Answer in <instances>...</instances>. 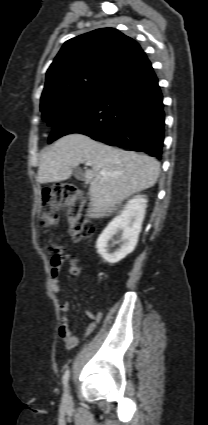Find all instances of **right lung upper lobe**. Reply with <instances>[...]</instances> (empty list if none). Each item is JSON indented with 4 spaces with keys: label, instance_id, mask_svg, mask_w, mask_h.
I'll return each instance as SVG.
<instances>
[{
    "label": "right lung upper lobe",
    "instance_id": "cb5924a9",
    "mask_svg": "<svg viewBox=\"0 0 208 425\" xmlns=\"http://www.w3.org/2000/svg\"><path fill=\"white\" fill-rule=\"evenodd\" d=\"M144 56L135 40L114 28L72 38L64 43L46 73L41 102L80 90L106 89Z\"/></svg>",
    "mask_w": 208,
    "mask_h": 425
}]
</instances>
